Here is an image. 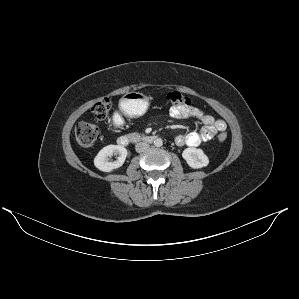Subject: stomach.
<instances>
[{
  "label": "stomach",
  "mask_w": 299,
  "mask_h": 299,
  "mask_svg": "<svg viewBox=\"0 0 299 299\" xmlns=\"http://www.w3.org/2000/svg\"><path fill=\"white\" fill-rule=\"evenodd\" d=\"M121 111L130 117H139L146 113L149 107V98L143 93L128 92L120 99Z\"/></svg>",
  "instance_id": "obj_1"
}]
</instances>
